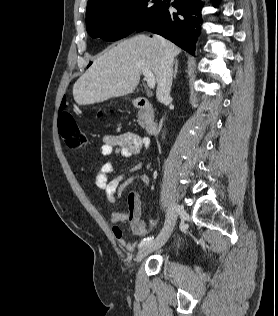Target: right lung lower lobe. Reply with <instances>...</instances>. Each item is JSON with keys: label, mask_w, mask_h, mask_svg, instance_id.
Segmentation results:
<instances>
[{"label": "right lung lower lobe", "mask_w": 278, "mask_h": 316, "mask_svg": "<svg viewBox=\"0 0 278 316\" xmlns=\"http://www.w3.org/2000/svg\"><path fill=\"white\" fill-rule=\"evenodd\" d=\"M217 1L213 0L214 6H218ZM171 6L177 9L176 13L170 11ZM202 6L200 0H175L171 4L160 1L154 14L135 32H154L194 55L200 33Z\"/></svg>", "instance_id": "98d812e1"}]
</instances>
